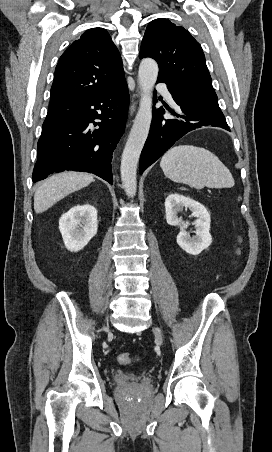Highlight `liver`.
<instances>
[{
    "instance_id": "liver-1",
    "label": "liver",
    "mask_w": 272,
    "mask_h": 452,
    "mask_svg": "<svg viewBox=\"0 0 272 452\" xmlns=\"http://www.w3.org/2000/svg\"><path fill=\"white\" fill-rule=\"evenodd\" d=\"M94 177L84 172H62L54 174L40 183L34 194V210L42 213L72 192L78 191L91 182Z\"/></svg>"
}]
</instances>
